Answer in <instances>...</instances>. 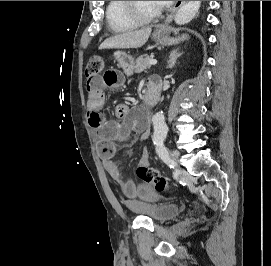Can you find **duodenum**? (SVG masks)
<instances>
[{
    "instance_id": "obj_1",
    "label": "duodenum",
    "mask_w": 271,
    "mask_h": 266,
    "mask_svg": "<svg viewBox=\"0 0 271 266\" xmlns=\"http://www.w3.org/2000/svg\"><path fill=\"white\" fill-rule=\"evenodd\" d=\"M160 98V91L155 83H149V87L144 95V103L148 106L155 105Z\"/></svg>"
}]
</instances>
